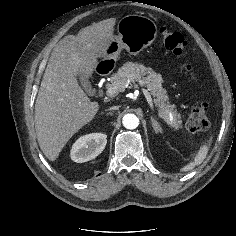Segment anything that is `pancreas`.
I'll return each mask as SVG.
<instances>
[{
	"label": "pancreas",
	"mask_w": 236,
	"mask_h": 236,
	"mask_svg": "<svg viewBox=\"0 0 236 236\" xmlns=\"http://www.w3.org/2000/svg\"><path fill=\"white\" fill-rule=\"evenodd\" d=\"M162 78L156 72L146 68L142 64L128 62L121 67L117 73L111 76L109 86H118L119 91H124L129 84L145 86L154 97L155 106L158 108L159 116L171 127L177 131L182 128L180 113L175 110V105H171L162 87Z\"/></svg>",
	"instance_id": "cf45deb5"
}]
</instances>
